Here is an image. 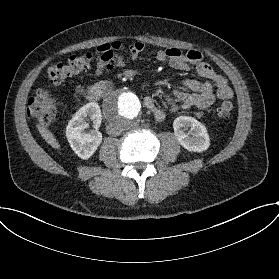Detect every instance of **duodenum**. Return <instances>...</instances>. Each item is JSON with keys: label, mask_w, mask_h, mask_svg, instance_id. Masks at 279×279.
I'll use <instances>...</instances> for the list:
<instances>
[{"label": "duodenum", "mask_w": 279, "mask_h": 279, "mask_svg": "<svg viewBox=\"0 0 279 279\" xmlns=\"http://www.w3.org/2000/svg\"><path fill=\"white\" fill-rule=\"evenodd\" d=\"M113 90V83L110 81H102L91 86L87 92V98L96 101L99 98L108 95Z\"/></svg>", "instance_id": "410a0bca"}]
</instances>
